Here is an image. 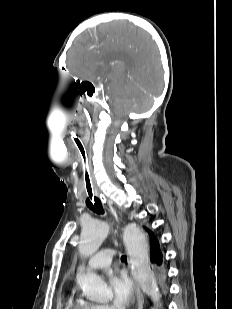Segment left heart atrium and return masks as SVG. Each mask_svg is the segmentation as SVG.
<instances>
[{"instance_id": "obj_1", "label": "left heart atrium", "mask_w": 232, "mask_h": 309, "mask_svg": "<svg viewBox=\"0 0 232 309\" xmlns=\"http://www.w3.org/2000/svg\"><path fill=\"white\" fill-rule=\"evenodd\" d=\"M109 285L113 303L118 309H125L134 302L136 291L130 279L123 272H112L109 275Z\"/></svg>"}]
</instances>
